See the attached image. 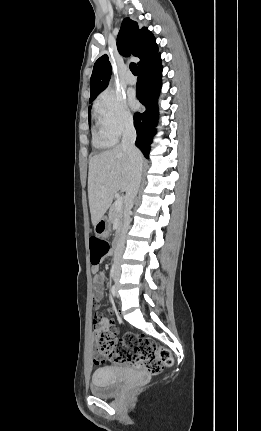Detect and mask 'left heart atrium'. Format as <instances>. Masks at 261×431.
<instances>
[{
	"mask_svg": "<svg viewBox=\"0 0 261 431\" xmlns=\"http://www.w3.org/2000/svg\"><path fill=\"white\" fill-rule=\"evenodd\" d=\"M128 101H129V104H130V106L132 108H136L137 107V101H136V99H135V97H134L133 94H129L128 95Z\"/></svg>",
	"mask_w": 261,
	"mask_h": 431,
	"instance_id": "obj_1",
	"label": "left heart atrium"
}]
</instances>
